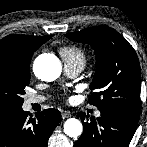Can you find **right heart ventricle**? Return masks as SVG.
<instances>
[{
    "mask_svg": "<svg viewBox=\"0 0 147 147\" xmlns=\"http://www.w3.org/2000/svg\"><path fill=\"white\" fill-rule=\"evenodd\" d=\"M60 54L65 63H78L82 66L86 62V54L84 50L77 46H65L60 49Z\"/></svg>",
    "mask_w": 147,
    "mask_h": 147,
    "instance_id": "obj_1",
    "label": "right heart ventricle"
}]
</instances>
